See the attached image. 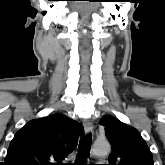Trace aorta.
<instances>
[{
  "label": "aorta",
  "instance_id": "aorta-1",
  "mask_svg": "<svg viewBox=\"0 0 165 165\" xmlns=\"http://www.w3.org/2000/svg\"><path fill=\"white\" fill-rule=\"evenodd\" d=\"M110 152V144L108 141L95 142L93 145V153L96 155H107Z\"/></svg>",
  "mask_w": 165,
  "mask_h": 165
}]
</instances>
